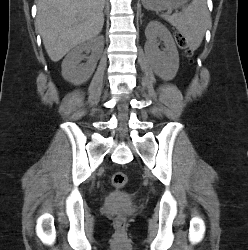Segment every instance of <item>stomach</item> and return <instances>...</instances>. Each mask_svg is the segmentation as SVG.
<instances>
[{
	"instance_id": "1",
	"label": "stomach",
	"mask_w": 248,
	"mask_h": 250,
	"mask_svg": "<svg viewBox=\"0 0 248 250\" xmlns=\"http://www.w3.org/2000/svg\"><path fill=\"white\" fill-rule=\"evenodd\" d=\"M187 2L188 0H142L146 9L154 11L178 9Z\"/></svg>"
}]
</instances>
